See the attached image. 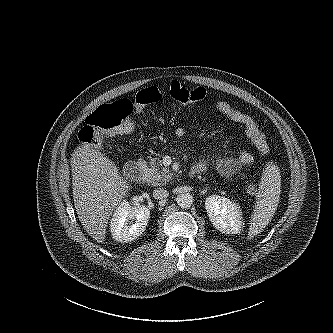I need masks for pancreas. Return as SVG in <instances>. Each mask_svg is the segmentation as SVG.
<instances>
[{
	"mask_svg": "<svg viewBox=\"0 0 333 333\" xmlns=\"http://www.w3.org/2000/svg\"><path fill=\"white\" fill-rule=\"evenodd\" d=\"M149 167L146 176L148 183L153 186H160L171 180L172 172L167 167H162V161L159 158H151Z\"/></svg>",
	"mask_w": 333,
	"mask_h": 333,
	"instance_id": "pancreas-1",
	"label": "pancreas"
}]
</instances>
